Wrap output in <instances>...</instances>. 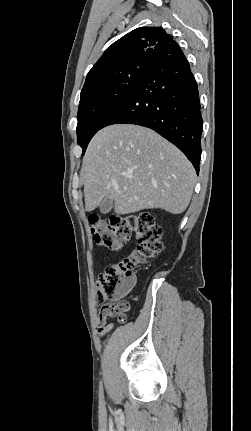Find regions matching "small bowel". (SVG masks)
I'll list each match as a JSON object with an SVG mask.
<instances>
[{"label": "small bowel", "instance_id": "c3829d8e", "mask_svg": "<svg viewBox=\"0 0 251 431\" xmlns=\"http://www.w3.org/2000/svg\"><path fill=\"white\" fill-rule=\"evenodd\" d=\"M108 316L110 315L102 308L97 319L98 332L100 334H105L110 329V326L106 325V319Z\"/></svg>", "mask_w": 251, "mask_h": 431}]
</instances>
